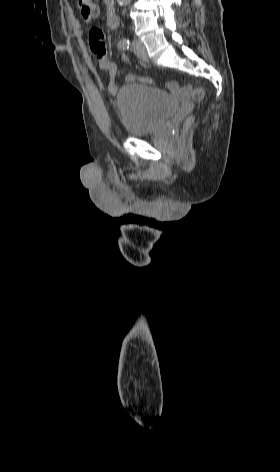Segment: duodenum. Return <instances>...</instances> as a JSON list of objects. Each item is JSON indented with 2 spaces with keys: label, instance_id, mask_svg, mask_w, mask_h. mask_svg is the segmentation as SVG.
I'll list each match as a JSON object with an SVG mask.
<instances>
[{
  "label": "duodenum",
  "instance_id": "410a0bca",
  "mask_svg": "<svg viewBox=\"0 0 280 472\" xmlns=\"http://www.w3.org/2000/svg\"><path fill=\"white\" fill-rule=\"evenodd\" d=\"M106 23H107V26L110 29H115V28L118 27L119 17L117 16V14L115 13V11L113 9L108 10L107 17H106Z\"/></svg>",
  "mask_w": 280,
  "mask_h": 472
}]
</instances>
